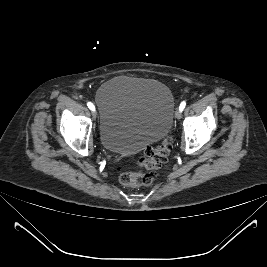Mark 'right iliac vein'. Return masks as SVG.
<instances>
[{"label": "right iliac vein", "mask_w": 267, "mask_h": 267, "mask_svg": "<svg viewBox=\"0 0 267 267\" xmlns=\"http://www.w3.org/2000/svg\"><path fill=\"white\" fill-rule=\"evenodd\" d=\"M92 115H93V118L95 119L97 117V112L94 110Z\"/></svg>", "instance_id": "obj_1"}]
</instances>
